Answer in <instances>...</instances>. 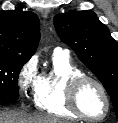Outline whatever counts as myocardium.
<instances>
[{"label":"myocardium","mask_w":118,"mask_h":123,"mask_svg":"<svg viewBox=\"0 0 118 123\" xmlns=\"http://www.w3.org/2000/svg\"><path fill=\"white\" fill-rule=\"evenodd\" d=\"M87 82H91L94 85H96L99 88V90L101 91V93L105 99L106 110H105L104 114L101 116H98V117L89 116L82 111V109L79 105V101H78L79 91H80L81 87ZM66 102H67L69 109L74 114H76L80 119H83L86 121L103 120L108 116V114L110 113V110H111V100H110V96L108 94L106 87L98 79H96L92 76L86 75V74L74 76L67 81Z\"/></svg>","instance_id":"obj_1"}]
</instances>
